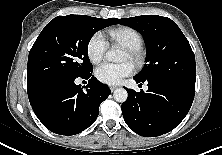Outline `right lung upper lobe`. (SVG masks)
Segmentation results:
<instances>
[{
  "label": "right lung upper lobe",
  "mask_w": 222,
  "mask_h": 155,
  "mask_svg": "<svg viewBox=\"0 0 222 155\" xmlns=\"http://www.w3.org/2000/svg\"><path fill=\"white\" fill-rule=\"evenodd\" d=\"M46 89L47 88H44V87H34L31 85H28V97H36Z\"/></svg>",
  "instance_id": "obj_1"
}]
</instances>
